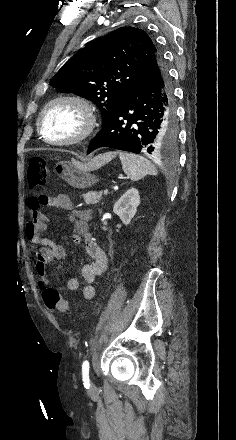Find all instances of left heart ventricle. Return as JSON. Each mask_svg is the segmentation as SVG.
I'll return each instance as SVG.
<instances>
[{
  "label": "left heart ventricle",
  "mask_w": 236,
  "mask_h": 440,
  "mask_svg": "<svg viewBox=\"0 0 236 440\" xmlns=\"http://www.w3.org/2000/svg\"><path fill=\"white\" fill-rule=\"evenodd\" d=\"M82 119L71 106H53L44 117L45 136L49 139H69L81 129Z\"/></svg>",
  "instance_id": "b2bd125f"
}]
</instances>
